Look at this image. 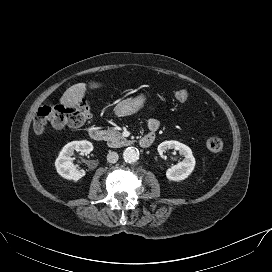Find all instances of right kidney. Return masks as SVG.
<instances>
[{"mask_svg": "<svg viewBox=\"0 0 272 272\" xmlns=\"http://www.w3.org/2000/svg\"><path fill=\"white\" fill-rule=\"evenodd\" d=\"M75 150L88 154L93 150V145L86 140L72 141L66 144L55 161V167L58 174L63 178L78 181L85 176V171L83 169H77L72 163L71 156Z\"/></svg>", "mask_w": 272, "mask_h": 272, "instance_id": "obj_1", "label": "right kidney"}]
</instances>
